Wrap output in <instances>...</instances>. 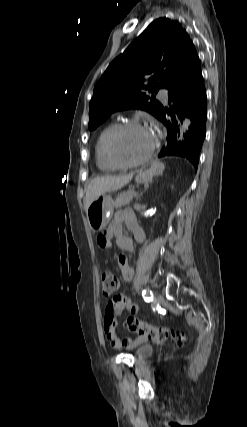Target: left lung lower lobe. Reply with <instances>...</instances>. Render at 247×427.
Returning a JSON list of instances; mask_svg holds the SVG:
<instances>
[{
    "instance_id": "left-lung-lower-lobe-1",
    "label": "left lung lower lobe",
    "mask_w": 247,
    "mask_h": 427,
    "mask_svg": "<svg viewBox=\"0 0 247 427\" xmlns=\"http://www.w3.org/2000/svg\"><path fill=\"white\" fill-rule=\"evenodd\" d=\"M168 102L170 109L163 108L158 119L167 126L168 146L163 147L159 157L165 155H176L186 157L198 167L199 154L206 135L205 122L207 119L206 90L201 73L200 61L198 60L192 70L177 83L169 88ZM169 115L171 119H167ZM184 116L192 121L190 131L177 142L175 135L179 132Z\"/></svg>"
}]
</instances>
